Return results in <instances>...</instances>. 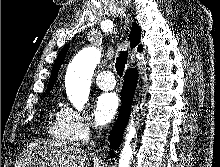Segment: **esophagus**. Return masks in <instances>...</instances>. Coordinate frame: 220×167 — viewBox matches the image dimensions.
Here are the masks:
<instances>
[{"label":"esophagus","mask_w":220,"mask_h":167,"mask_svg":"<svg viewBox=\"0 0 220 167\" xmlns=\"http://www.w3.org/2000/svg\"><path fill=\"white\" fill-rule=\"evenodd\" d=\"M107 144L104 146L103 155L106 154Z\"/></svg>","instance_id":"34e87169"}]
</instances>
